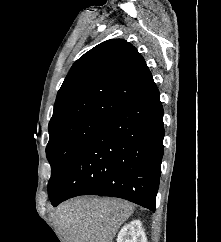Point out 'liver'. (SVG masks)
<instances>
[{
    "label": "liver",
    "instance_id": "obj_1",
    "mask_svg": "<svg viewBox=\"0 0 221 242\" xmlns=\"http://www.w3.org/2000/svg\"><path fill=\"white\" fill-rule=\"evenodd\" d=\"M132 213L128 201L82 197L61 204L54 219L66 242H112Z\"/></svg>",
    "mask_w": 221,
    "mask_h": 242
}]
</instances>
